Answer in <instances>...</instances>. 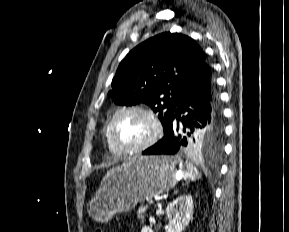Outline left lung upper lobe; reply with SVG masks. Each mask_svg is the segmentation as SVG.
Instances as JSON below:
<instances>
[{
    "mask_svg": "<svg viewBox=\"0 0 289 232\" xmlns=\"http://www.w3.org/2000/svg\"><path fill=\"white\" fill-rule=\"evenodd\" d=\"M206 63V56L190 37L178 33L158 34L131 50L112 80V96L120 105L145 103L158 112L164 133L178 100ZM223 123L196 133L186 152L219 153Z\"/></svg>",
    "mask_w": 289,
    "mask_h": 232,
    "instance_id": "obj_1",
    "label": "left lung upper lobe"
}]
</instances>
